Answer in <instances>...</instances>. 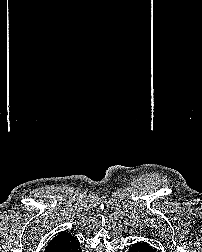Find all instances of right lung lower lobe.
Returning a JSON list of instances; mask_svg holds the SVG:
<instances>
[{"instance_id":"98d812e1","label":"right lung lower lobe","mask_w":202,"mask_h":252,"mask_svg":"<svg viewBox=\"0 0 202 252\" xmlns=\"http://www.w3.org/2000/svg\"><path fill=\"white\" fill-rule=\"evenodd\" d=\"M70 252H82L80 244H76Z\"/></svg>"}]
</instances>
